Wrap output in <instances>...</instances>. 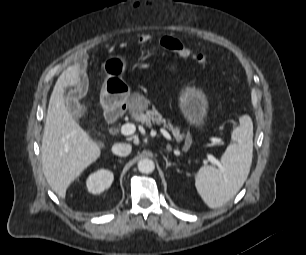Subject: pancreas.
I'll list each match as a JSON object with an SVG mask.
<instances>
[{
	"label": "pancreas",
	"instance_id": "1",
	"mask_svg": "<svg viewBox=\"0 0 306 255\" xmlns=\"http://www.w3.org/2000/svg\"><path fill=\"white\" fill-rule=\"evenodd\" d=\"M140 100L141 102L137 107H131L132 118L135 121L145 124L148 127H151L152 124L163 125L164 128H168L172 132L177 141L183 139L184 135L181 133L179 127H174L169 121L167 122L154 107L148 110V101L145 98L140 97Z\"/></svg>",
	"mask_w": 306,
	"mask_h": 255
}]
</instances>
